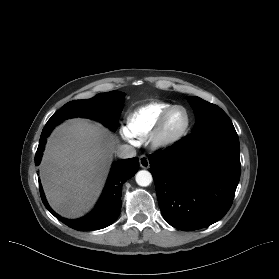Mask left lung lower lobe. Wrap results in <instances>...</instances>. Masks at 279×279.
Returning a JSON list of instances; mask_svg holds the SVG:
<instances>
[{"instance_id": "obj_1", "label": "left lung lower lobe", "mask_w": 279, "mask_h": 279, "mask_svg": "<svg viewBox=\"0 0 279 279\" xmlns=\"http://www.w3.org/2000/svg\"><path fill=\"white\" fill-rule=\"evenodd\" d=\"M239 153L234 127H214L192 132L165 152L149 155L164 219L184 231L220 220L239 182Z\"/></svg>"}]
</instances>
